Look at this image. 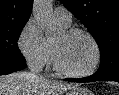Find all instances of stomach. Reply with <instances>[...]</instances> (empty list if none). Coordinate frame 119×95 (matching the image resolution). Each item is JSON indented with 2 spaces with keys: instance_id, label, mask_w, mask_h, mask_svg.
Segmentation results:
<instances>
[{
  "instance_id": "0dacf381",
  "label": "stomach",
  "mask_w": 119,
  "mask_h": 95,
  "mask_svg": "<svg viewBox=\"0 0 119 95\" xmlns=\"http://www.w3.org/2000/svg\"><path fill=\"white\" fill-rule=\"evenodd\" d=\"M66 95H94V94L88 89L77 87L71 89Z\"/></svg>"
}]
</instances>
